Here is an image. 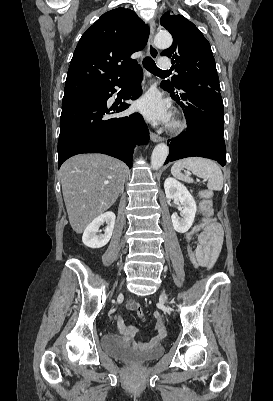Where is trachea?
Masks as SVG:
<instances>
[{
    "instance_id": "1",
    "label": "trachea",
    "mask_w": 273,
    "mask_h": 401,
    "mask_svg": "<svg viewBox=\"0 0 273 401\" xmlns=\"http://www.w3.org/2000/svg\"><path fill=\"white\" fill-rule=\"evenodd\" d=\"M143 65L150 73H153L154 75L168 72V70H161L160 68H158L154 60L149 56L144 57Z\"/></svg>"
}]
</instances>
